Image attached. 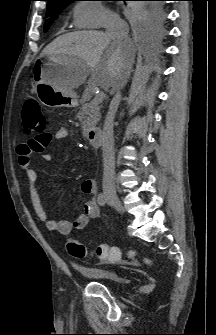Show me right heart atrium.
<instances>
[{
  "instance_id": "1",
  "label": "right heart atrium",
  "mask_w": 216,
  "mask_h": 335,
  "mask_svg": "<svg viewBox=\"0 0 216 335\" xmlns=\"http://www.w3.org/2000/svg\"><path fill=\"white\" fill-rule=\"evenodd\" d=\"M74 21L79 28H102L118 21V16L97 1H79L73 10Z\"/></svg>"
}]
</instances>
